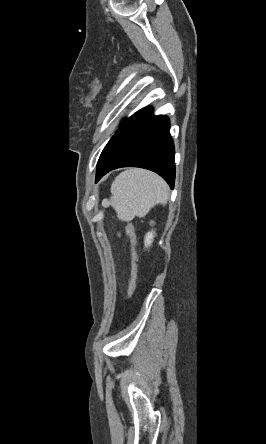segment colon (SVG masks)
<instances>
[{
	"label": "colon",
	"mask_w": 266,
	"mask_h": 444,
	"mask_svg": "<svg viewBox=\"0 0 266 444\" xmlns=\"http://www.w3.org/2000/svg\"><path fill=\"white\" fill-rule=\"evenodd\" d=\"M126 234L130 247V277L128 282V297L131 298L135 290L137 272H138L137 254H136V236H135L134 227L131 223L126 224Z\"/></svg>",
	"instance_id": "colon-1"
}]
</instances>
